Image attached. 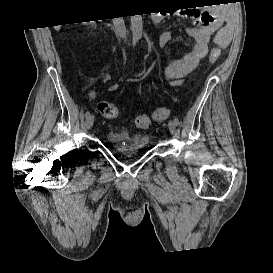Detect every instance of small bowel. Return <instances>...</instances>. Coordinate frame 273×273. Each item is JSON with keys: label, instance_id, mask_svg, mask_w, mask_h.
Wrapping results in <instances>:
<instances>
[{"label": "small bowel", "instance_id": "1", "mask_svg": "<svg viewBox=\"0 0 273 273\" xmlns=\"http://www.w3.org/2000/svg\"><path fill=\"white\" fill-rule=\"evenodd\" d=\"M170 17L185 18L191 25L184 33L193 40V45L180 58L175 60L165 71V76L174 85L182 83L203 60L209 51L211 44L218 48H225L232 35L231 17L224 9H204L190 11L187 14H170ZM174 39L171 32L159 36L160 45H168ZM118 86L113 84L111 90Z\"/></svg>", "mask_w": 273, "mask_h": 273}]
</instances>
